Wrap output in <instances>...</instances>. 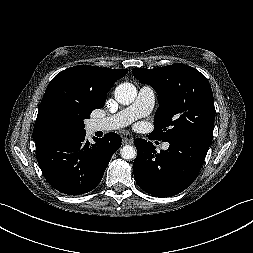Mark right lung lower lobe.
I'll list each match as a JSON object with an SVG mask.
<instances>
[{"label":"right lung lower lobe","mask_w":253,"mask_h":253,"mask_svg":"<svg viewBox=\"0 0 253 253\" xmlns=\"http://www.w3.org/2000/svg\"><path fill=\"white\" fill-rule=\"evenodd\" d=\"M86 133L50 134L36 141V157L47 182L67 195L87 193L97 187L112 155L121 146V137L108 133L85 139Z\"/></svg>","instance_id":"98d812e1"}]
</instances>
